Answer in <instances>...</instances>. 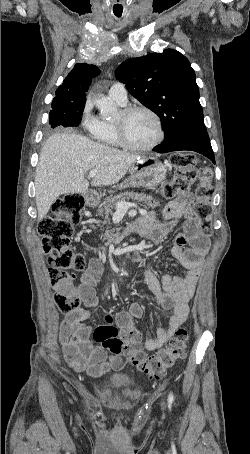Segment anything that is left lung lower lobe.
Instances as JSON below:
<instances>
[{
  "label": "left lung lower lobe",
  "mask_w": 250,
  "mask_h": 454,
  "mask_svg": "<svg viewBox=\"0 0 250 454\" xmlns=\"http://www.w3.org/2000/svg\"><path fill=\"white\" fill-rule=\"evenodd\" d=\"M153 150L158 153L181 150L195 151L206 156L215 163L214 153L205 125L191 128L175 140L159 144Z\"/></svg>",
  "instance_id": "obj_1"
}]
</instances>
